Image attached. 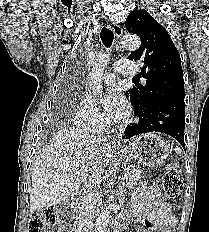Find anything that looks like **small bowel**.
<instances>
[{
    "label": "small bowel",
    "mask_w": 209,
    "mask_h": 232,
    "mask_svg": "<svg viewBox=\"0 0 209 232\" xmlns=\"http://www.w3.org/2000/svg\"><path fill=\"white\" fill-rule=\"evenodd\" d=\"M131 208L133 217L142 224L136 232H148L151 227H159V232H171L177 222L154 185L139 188L132 197Z\"/></svg>",
    "instance_id": "c3829d8e"
}]
</instances>
